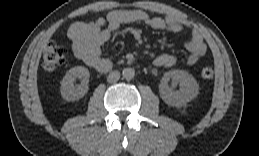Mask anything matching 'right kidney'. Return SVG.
<instances>
[{"label":"right kidney","instance_id":"right-kidney-1","mask_svg":"<svg viewBox=\"0 0 259 156\" xmlns=\"http://www.w3.org/2000/svg\"><path fill=\"white\" fill-rule=\"evenodd\" d=\"M90 73L83 66H76L67 71L61 81V95L67 101H75L83 98L89 90ZM76 79H82L81 84L75 86Z\"/></svg>","mask_w":259,"mask_h":156}]
</instances>
